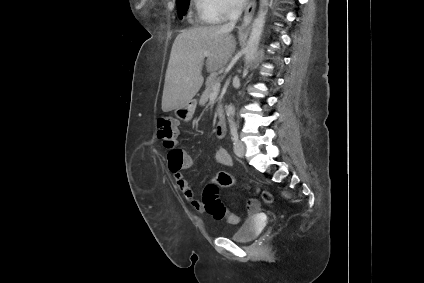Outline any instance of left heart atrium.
I'll list each match as a JSON object with an SVG mask.
<instances>
[{"label": "left heart atrium", "mask_w": 424, "mask_h": 283, "mask_svg": "<svg viewBox=\"0 0 424 283\" xmlns=\"http://www.w3.org/2000/svg\"><path fill=\"white\" fill-rule=\"evenodd\" d=\"M246 0H239V3H244Z\"/></svg>", "instance_id": "1"}]
</instances>
